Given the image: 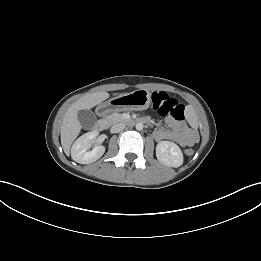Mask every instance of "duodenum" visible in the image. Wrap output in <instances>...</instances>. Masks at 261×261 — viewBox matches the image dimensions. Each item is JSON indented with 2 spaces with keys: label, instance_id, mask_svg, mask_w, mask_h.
I'll return each mask as SVG.
<instances>
[{
  "label": "duodenum",
  "instance_id": "obj_1",
  "mask_svg": "<svg viewBox=\"0 0 261 261\" xmlns=\"http://www.w3.org/2000/svg\"><path fill=\"white\" fill-rule=\"evenodd\" d=\"M110 108L111 107L109 105H105V106L101 107L99 111H100V113H105V112L109 111ZM105 128H106V122L102 119L98 120L95 125V130L102 131Z\"/></svg>",
  "mask_w": 261,
  "mask_h": 261
}]
</instances>
